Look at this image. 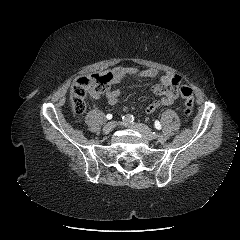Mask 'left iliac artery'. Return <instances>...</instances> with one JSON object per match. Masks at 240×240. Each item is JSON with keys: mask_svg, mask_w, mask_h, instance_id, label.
<instances>
[{"mask_svg": "<svg viewBox=\"0 0 240 240\" xmlns=\"http://www.w3.org/2000/svg\"><path fill=\"white\" fill-rule=\"evenodd\" d=\"M166 137H167V134H166L165 132L159 133V134L157 135V138H158L159 140L165 139Z\"/></svg>", "mask_w": 240, "mask_h": 240, "instance_id": "44dca946", "label": "left iliac artery"}]
</instances>
